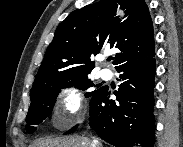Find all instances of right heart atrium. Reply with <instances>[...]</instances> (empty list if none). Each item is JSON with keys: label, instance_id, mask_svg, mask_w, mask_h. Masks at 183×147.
Returning a JSON list of instances; mask_svg holds the SVG:
<instances>
[{"label": "right heart atrium", "instance_id": "obj_1", "mask_svg": "<svg viewBox=\"0 0 183 147\" xmlns=\"http://www.w3.org/2000/svg\"><path fill=\"white\" fill-rule=\"evenodd\" d=\"M83 99L75 86L64 87L58 95V105L54 110L57 122L62 121L64 126L72 124L73 118L80 112Z\"/></svg>", "mask_w": 183, "mask_h": 147}]
</instances>
